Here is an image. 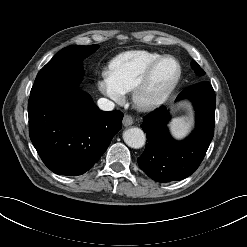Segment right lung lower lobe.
I'll use <instances>...</instances> for the list:
<instances>
[{
	"label": "right lung lower lobe",
	"instance_id": "right-lung-lower-lobe-1",
	"mask_svg": "<svg viewBox=\"0 0 247 247\" xmlns=\"http://www.w3.org/2000/svg\"><path fill=\"white\" fill-rule=\"evenodd\" d=\"M30 139L44 164L59 175L88 171L121 129L123 114L100 111L77 88L32 89L28 102Z\"/></svg>",
	"mask_w": 247,
	"mask_h": 247
}]
</instances>
